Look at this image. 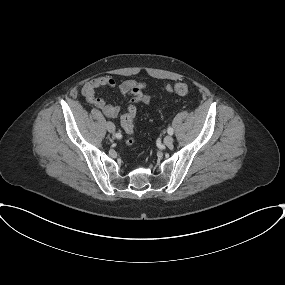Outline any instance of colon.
I'll list each match as a JSON object with an SVG mask.
<instances>
[{"instance_id": "colon-1", "label": "colon", "mask_w": 285, "mask_h": 285, "mask_svg": "<svg viewBox=\"0 0 285 285\" xmlns=\"http://www.w3.org/2000/svg\"><path fill=\"white\" fill-rule=\"evenodd\" d=\"M167 91L177 95H187L190 92V87L183 82L176 83L168 86ZM137 109L134 105H130L127 111L121 116V126L124 131L129 135L127 139L128 145H133L134 139V119L136 116Z\"/></svg>"}]
</instances>
